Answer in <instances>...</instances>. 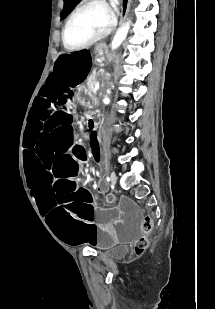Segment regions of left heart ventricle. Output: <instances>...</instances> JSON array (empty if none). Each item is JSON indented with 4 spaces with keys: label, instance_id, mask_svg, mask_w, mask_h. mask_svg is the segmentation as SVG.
Wrapping results in <instances>:
<instances>
[{
    "label": "left heart ventricle",
    "instance_id": "b2bd125f",
    "mask_svg": "<svg viewBox=\"0 0 215 309\" xmlns=\"http://www.w3.org/2000/svg\"><path fill=\"white\" fill-rule=\"evenodd\" d=\"M104 13L105 11L98 7L79 13L68 29V44L78 46V41H89V34H94L95 29H104V25L108 23L107 18H104Z\"/></svg>",
    "mask_w": 215,
    "mask_h": 309
}]
</instances>
